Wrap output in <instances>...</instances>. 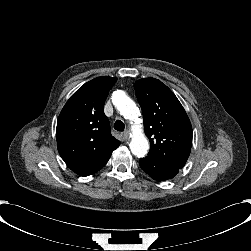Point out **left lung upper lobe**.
I'll return each mask as SVG.
<instances>
[{"mask_svg": "<svg viewBox=\"0 0 251 251\" xmlns=\"http://www.w3.org/2000/svg\"><path fill=\"white\" fill-rule=\"evenodd\" d=\"M135 92L150 141L148 157L183 168L192 146V126L183 106L174 93L155 78L136 81Z\"/></svg>", "mask_w": 251, "mask_h": 251, "instance_id": "left-lung-upper-lobe-1", "label": "left lung upper lobe"}]
</instances>
